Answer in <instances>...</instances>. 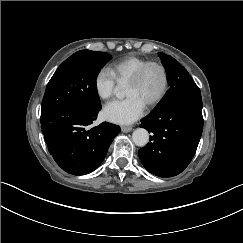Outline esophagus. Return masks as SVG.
<instances>
[{"instance_id": "34e87169", "label": "esophagus", "mask_w": 243, "mask_h": 243, "mask_svg": "<svg viewBox=\"0 0 243 243\" xmlns=\"http://www.w3.org/2000/svg\"><path fill=\"white\" fill-rule=\"evenodd\" d=\"M121 131L124 133H128L132 131V127L121 126Z\"/></svg>"}]
</instances>
